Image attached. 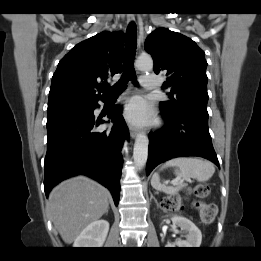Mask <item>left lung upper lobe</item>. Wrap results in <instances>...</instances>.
<instances>
[{
	"label": "left lung upper lobe",
	"instance_id": "obj_1",
	"mask_svg": "<svg viewBox=\"0 0 261 261\" xmlns=\"http://www.w3.org/2000/svg\"><path fill=\"white\" fill-rule=\"evenodd\" d=\"M145 50L154 61V72L167 76L169 99L159 103L162 113H175L182 108L208 116L207 61L205 53L190 38L158 28L145 41Z\"/></svg>",
	"mask_w": 261,
	"mask_h": 261
}]
</instances>
